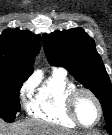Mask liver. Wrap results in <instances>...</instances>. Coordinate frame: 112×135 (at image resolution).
<instances>
[{"label":"liver","mask_w":112,"mask_h":135,"mask_svg":"<svg viewBox=\"0 0 112 135\" xmlns=\"http://www.w3.org/2000/svg\"><path fill=\"white\" fill-rule=\"evenodd\" d=\"M0 135H76L43 122L28 120L18 124L7 125L0 119Z\"/></svg>","instance_id":"6515ba94"}]
</instances>
